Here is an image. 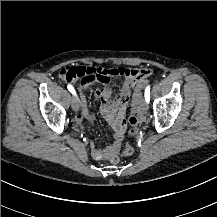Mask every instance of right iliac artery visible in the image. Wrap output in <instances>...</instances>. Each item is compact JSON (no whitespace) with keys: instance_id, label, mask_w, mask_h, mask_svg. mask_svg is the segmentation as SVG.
<instances>
[{"instance_id":"82829eb1","label":"right iliac artery","mask_w":217,"mask_h":217,"mask_svg":"<svg viewBox=\"0 0 217 217\" xmlns=\"http://www.w3.org/2000/svg\"><path fill=\"white\" fill-rule=\"evenodd\" d=\"M67 88H68V90H69L73 95H76L75 89L73 88L72 85L69 84V85L67 86Z\"/></svg>"}]
</instances>
